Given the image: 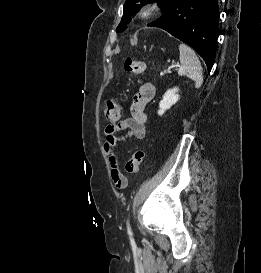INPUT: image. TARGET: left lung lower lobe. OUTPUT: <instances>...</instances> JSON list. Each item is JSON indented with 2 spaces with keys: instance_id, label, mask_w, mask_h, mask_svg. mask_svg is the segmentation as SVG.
Masks as SVG:
<instances>
[{
  "instance_id": "1",
  "label": "left lung lower lobe",
  "mask_w": 261,
  "mask_h": 273,
  "mask_svg": "<svg viewBox=\"0 0 261 273\" xmlns=\"http://www.w3.org/2000/svg\"><path fill=\"white\" fill-rule=\"evenodd\" d=\"M218 18V0H174L161 17L148 26L162 28L191 46L204 59L210 72L216 54Z\"/></svg>"
}]
</instances>
